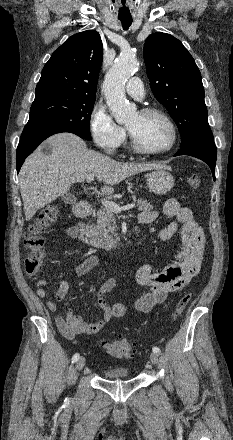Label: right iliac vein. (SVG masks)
<instances>
[{"mask_svg":"<svg viewBox=\"0 0 233 440\" xmlns=\"http://www.w3.org/2000/svg\"><path fill=\"white\" fill-rule=\"evenodd\" d=\"M84 365H85V358H84V357H80V358L77 360V363H76V369H77V370H81V369L84 367Z\"/></svg>","mask_w":233,"mask_h":440,"instance_id":"right-iliac-vein-1","label":"right iliac vein"}]
</instances>
